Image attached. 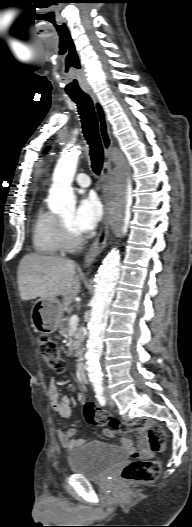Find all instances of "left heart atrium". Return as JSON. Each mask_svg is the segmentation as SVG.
I'll use <instances>...</instances> for the list:
<instances>
[{
  "label": "left heart atrium",
  "mask_w": 192,
  "mask_h": 527,
  "mask_svg": "<svg viewBox=\"0 0 192 527\" xmlns=\"http://www.w3.org/2000/svg\"><path fill=\"white\" fill-rule=\"evenodd\" d=\"M102 217V206L94 194L81 199L71 220L72 228L78 234L89 233L95 229Z\"/></svg>",
  "instance_id": "left-heart-atrium-1"
}]
</instances>
